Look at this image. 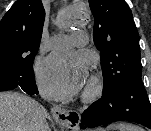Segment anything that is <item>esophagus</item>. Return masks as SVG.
<instances>
[{
  "label": "esophagus",
  "instance_id": "1",
  "mask_svg": "<svg viewBox=\"0 0 151 131\" xmlns=\"http://www.w3.org/2000/svg\"><path fill=\"white\" fill-rule=\"evenodd\" d=\"M51 114L58 123L72 130L78 129L80 123V115L78 112L66 110L60 106H54L51 109Z\"/></svg>",
  "mask_w": 151,
  "mask_h": 131
}]
</instances>
